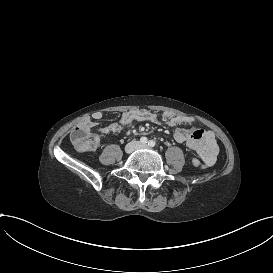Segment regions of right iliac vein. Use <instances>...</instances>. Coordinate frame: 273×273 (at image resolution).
I'll return each mask as SVG.
<instances>
[{"label": "right iliac vein", "mask_w": 273, "mask_h": 273, "mask_svg": "<svg viewBox=\"0 0 273 273\" xmlns=\"http://www.w3.org/2000/svg\"><path fill=\"white\" fill-rule=\"evenodd\" d=\"M138 147H139V143L136 142V141H133V142H131V143H129V144L127 145L126 151H127L128 153H131V152H133L135 149H137Z\"/></svg>", "instance_id": "right-iliac-vein-1"}]
</instances>
